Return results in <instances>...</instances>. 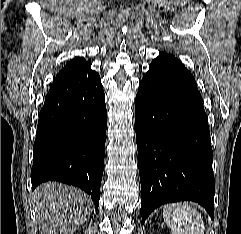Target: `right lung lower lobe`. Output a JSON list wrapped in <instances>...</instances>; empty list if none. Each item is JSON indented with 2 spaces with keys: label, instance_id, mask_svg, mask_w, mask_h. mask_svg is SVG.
Listing matches in <instances>:
<instances>
[{
  "label": "right lung lower lobe",
  "instance_id": "98d812e1",
  "mask_svg": "<svg viewBox=\"0 0 241 234\" xmlns=\"http://www.w3.org/2000/svg\"><path fill=\"white\" fill-rule=\"evenodd\" d=\"M107 111L100 77L90 62L57 76L39 113L32 187L46 181L74 185L99 206Z\"/></svg>",
  "mask_w": 241,
  "mask_h": 234
}]
</instances>
